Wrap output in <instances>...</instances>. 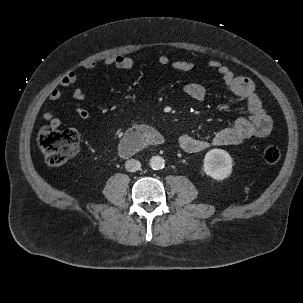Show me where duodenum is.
Returning a JSON list of instances; mask_svg holds the SVG:
<instances>
[{"label": "duodenum", "mask_w": 303, "mask_h": 303, "mask_svg": "<svg viewBox=\"0 0 303 303\" xmlns=\"http://www.w3.org/2000/svg\"><path fill=\"white\" fill-rule=\"evenodd\" d=\"M164 138L153 128L139 126L130 130L119 145V152L122 156L128 157L147 145H161Z\"/></svg>", "instance_id": "1"}]
</instances>
